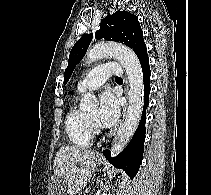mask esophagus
<instances>
[{
    "mask_svg": "<svg viewBox=\"0 0 211 195\" xmlns=\"http://www.w3.org/2000/svg\"><path fill=\"white\" fill-rule=\"evenodd\" d=\"M125 96L127 97V87L125 88ZM127 106H128V104L126 103L125 106L123 107V111H122L123 118H124L125 115H126ZM97 156L102 158V155H101V154H98Z\"/></svg>",
    "mask_w": 211,
    "mask_h": 195,
    "instance_id": "1",
    "label": "esophagus"
}]
</instances>
